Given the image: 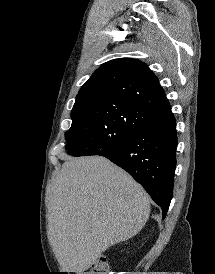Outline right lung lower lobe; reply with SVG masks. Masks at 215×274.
<instances>
[{
    "mask_svg": "<svg viewBox=\"0 0 215 274\" xmlns=\"http://www.w3.org/2000/svg\"><path fill=\"white\" fill-rule=\"evenodd\" d=\"M176 121L171 109L157 114L114 149L99 154L126 170L162 209L172 198L176 167Z\"/></svg>",
    "mask_w": 215,
    "mask_h": 274,
    "instance_id": "1",
    "label": "right lung lower lobe"
}]
</instances>
